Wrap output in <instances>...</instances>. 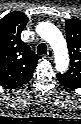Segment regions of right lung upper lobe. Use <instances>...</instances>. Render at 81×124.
I'll use <instances>...</instances> for the list:
<instances>
[{
	"label": "right lung upper lobe",
	"mask_w": 81,
	"mask_h": 124,
	"mask_svg": "<svg viewBox=\"0 0 81 124\" xmlns=\"http://www.w3.org/2000/svg\"><path fill=\"white\" fill-rule=\"evenodd\" d=\"M28 17L20 11L0 20V85L15 89L27 84L40 56L21 40Z\"/></svg>",
	"instance_id": "cb5924a9"
}]
</instances>
